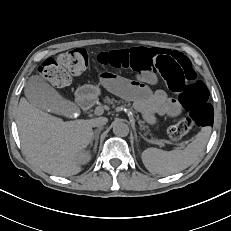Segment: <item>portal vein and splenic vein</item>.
<instances>
[{
	"mask_svg": "<svg viewBox=\"0 0 231 231\" xmlns=\"http://www.w3.org/2000/svg\"><path fill=\"white\" fill-rule=\"evenodd\" d=\"M123 108H121V107H119L118 108V110L120 111V110H122ZM104 113V108H103V106H98V107H96L95 108V110H94V114L95 115H102ZM146 139V138H145ZM149 142H152V143H155V144H157L158 142H156V141H151V140H148ZM182 147H184V144H182L181 145Z\"/></svg>",
	"mask_w": 231,
	"mask_h": 231,
	"instance_id": "obj_1",
	"label": "portal vein and splenic vein"
}]
</instances>
